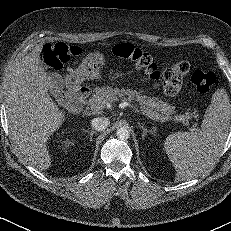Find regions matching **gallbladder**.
I'll return each instance as SVG.
<instances>
[{"label":"gallbladder","instance_id":"gallbladder-1","mask_svg":"<svg viewBox=\"0 0 231 231\" xmlns=\"http://www.w3.org/2000/svg\"><path fill=\"white\" fill-rule=\"evenodd\" d=\"M52 92L62 90V78L58 73L50 72L47 74Z\"/></svg>","mask_w":231,"mask_h":231}]
</instances>
